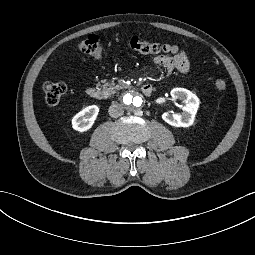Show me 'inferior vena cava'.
Returning a JSON list of instances; mask_svg holds the SVG:
<instances>
[{
  "label": "inferior vena cava",
  "mask_w": 255,
  "mask_h": 255,
  "mask_svg": "<svg viewBox=\"0 0 255 255\" xmlns=\"http://www.w3.org/2000/svg\"><path fill=\"white\" fill-rule=\"evenodd\" d=\"M109 115L113 118H117L120 117L124 114V110L121 107L120 104L118 103H113L110 107H109Z\"/></svg>",
  "instance_id": "1"
}]
</instances>
